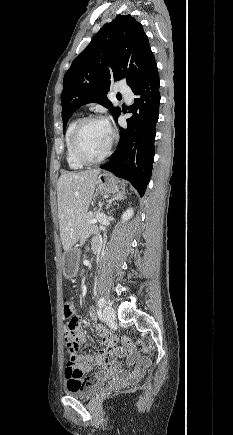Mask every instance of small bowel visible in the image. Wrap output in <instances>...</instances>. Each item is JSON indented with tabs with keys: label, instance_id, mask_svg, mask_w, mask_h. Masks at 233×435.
<instances>
[{
	"label": "small bowel",
	"instance_id": "obj_1",
	"mask_svg": "<svg viewBox=\"0 0 233 435\" xmlns=\"http://www.w3.org/2000/svg\"><path fill=\"white\" fill-rule=\"evenodd\" d=\"M73 310L75 311L74 304L71 303ZM88 315L91 319L96 320L97 314L95 310L90 309L88 311ZM95 331L102 345L105 344L109 340V335L103 325L100 323L95 324ZM79 345L85 343V332L80 329L79 330ZM126 357L128 364V371L131 375H135L140 372L143 368L148 365V360L140 357L138 354L133 352L130 349H126L123 347H117L114 351L107 353L105 350L99 352L95 356L89 355H79L77 356L79 366L83 368L85 371L90 372L95 365L100 366V370L93 375L94 378L98 379L101 377H106L111 374L116 373L117 371L122 370V367L118 361V358ZM64 377L69 384H76L78 379V372L76 367L68 365L64 371Z\"/></svg>",
	"mask_w": 233,
	"mask_h": 435
}]
</instances>
